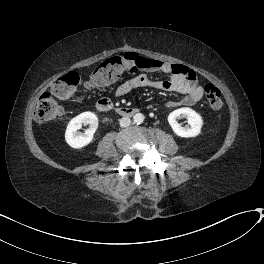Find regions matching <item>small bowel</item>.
<instances>
[{
	"label": "small bowel",
	"mask_w": 264,
	"mask_h": 264,
	"mask_svg": "<svg viewBox=\"0 0 264 264\" xmlns=\"http://www.w3.org/2000/svg\"><path fill=\"white\" fill-rule=\"evenodd\" d=\"M140 69L167 75L166 80H157L142 74L137 75L124 83L116 90L119 96L127 95L140 88H154L168 93L184 95L182 99H170L165 101L168 107L192 106L203 97V87L199 85L194 72L183 64H172L157 59H139Z\"/></svg>",
	"instance_id": "1"
}]
</instances>
